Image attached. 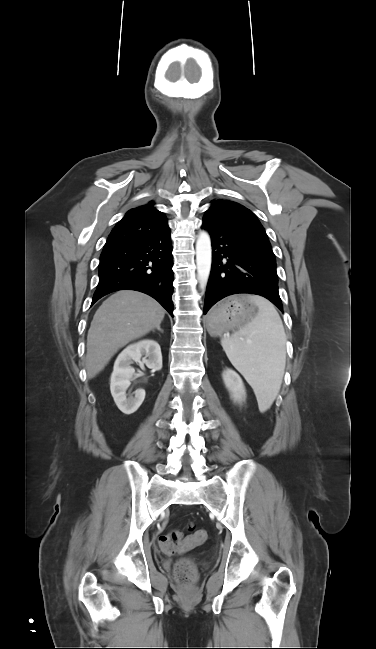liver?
Here are the masks:
<instances>
[{
  "label": "liver",
  "mask_w": 376,
  "mask_h": 649,
  "mask_svg": "<svg viewBox=\"0 0 376 649\" xmlns=\"http://www.w3.org/2000/svg\"><path fill=\"white\" fill-rule=\"evenodd\" d=\"M165 310L150 296L121 290L108 297L96 311L87 335L86 369L94 378L113 355L164 319Z\"/></svg>",
  "instance_id": "obj_1"
}]
</instances>
